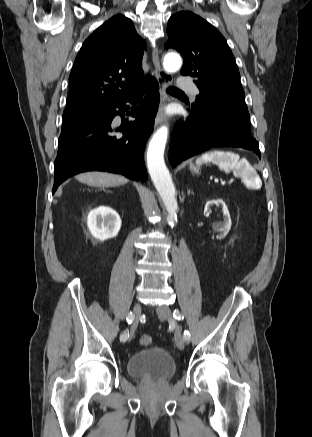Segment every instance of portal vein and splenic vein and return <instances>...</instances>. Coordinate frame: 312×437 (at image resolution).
<instances>
[{
    "instance_id": "portal-vein-and-splenic-vein-1",
    "label": "portal vein and splenic vein",
    "mask_w": 312,
    "mask_h": 437,
    "mask_svg": "<svg viewBox=\"0 0 312 437\" xmlns=\"http://www.w3.org/2000/svg\"><path fill=\"white\" fill-rule=\"evenodd\" d=\"M221 184H225V180H221Z\"/></svg>"
}]
</instances>
